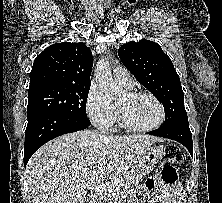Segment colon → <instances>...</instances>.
I'll return each mask as SVG.
<instances>
[{
  "instance_id": "colon-1",
  "label": "colon",
  "mask_w": 222,
  "mask_h": 203,
  "mask_svg": "<svg viewBox=\"0 0 222 203\" xmlns=\"http://www.w3.org/2000/svg\"><path fill=\"white\" fill-rule=\"evenodd\" d=\"M184 160V155L176 145L170 144L165 147L161 180L169 185L176 184L178 181V170Z\"/></svg>"
}]
</instances>
